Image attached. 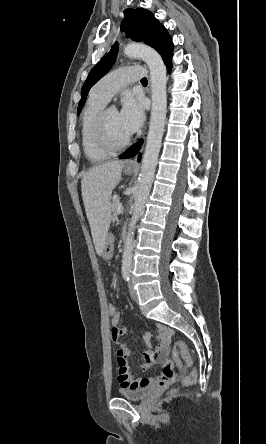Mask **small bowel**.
Returning <instances> with one entry per match:
<instances>
[{
  "mask_svg": "<svg viewBox=\"0 0 266 444\" xmlns=\"http://www.w3.org/2000/svg\"><path fill=\"white\" fill-rule=\"evenodd\" d=\"M121 315L118 313L111 319V333L114 340L126 334V328L120 325ZM172 331L164 326H158L157 346L153 350H146L143 352V364L141 368L146 370L152 365H160L161 371L159 375L154 378L148 377H134L130 371L127 363V358L131 354L130 349L123 344H120L117 349V364L119 367L118 382L121 388H142L145 386L157 385L164 387L175 379L174 365L169 360L168 344ZM146 342L151 340V335L144 336Z\"/></svg>",
  "mask_w": 266,
  "mask_h": 444,
  "instance_id": "c3829d8e",
  "label": "small bowel"
}]
</instances>
